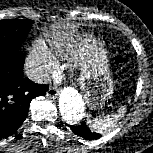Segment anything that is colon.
<instances>
[{
	"label": "colon",
	"mask_w": 153,
	"mask_h": 153,
	"mask_svg": "<svg viewBox=\"0 0 153 153\" xmlns=\"http://www.w3.org/2000/svg\"><path fill=\"white\" fill-rule=\"evenodd\" d=\"M115 63H116V65L122 67L126 64V60L124 59V57L117 55L115 57Z\"/></svg>",
	"instance_id": "colon-1"
}]
</instances>
